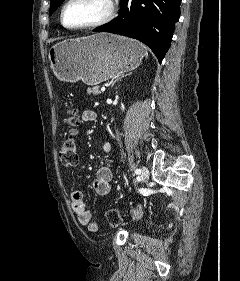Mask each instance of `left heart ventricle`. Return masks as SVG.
I'll use <instances>...</instances> for the list:
<instances>
[{"mask_svg":"<svg viewBox=\"0 0 240 281\" xmlns=\"http://www.w3.org/2000/svg\"><path fill=\"white\" fill-rule=\"evenodd\" d=\"M108 10L107 0H73L66 8L64 21L79 26L102 18Z\"/></svg>","mask_w":240,"mask_h":281,"instance_id":"1","label":"left heart ventricle"}]
</instances>
